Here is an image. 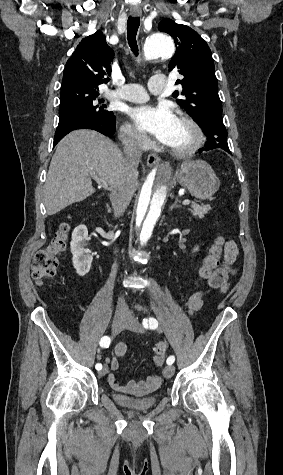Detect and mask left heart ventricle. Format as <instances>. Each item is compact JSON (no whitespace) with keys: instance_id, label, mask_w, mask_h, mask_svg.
I'll list each match as a JSON object with an SVG mask.
<instances>
[{"instance_id":"b2bd125f","label":"left heart ventricle","mask_w":283,"mask_h":475,"mask_svg":"<svg viewBox=\"0 0 283 475\" xmlns=\"http://www.w3.org/2000/svg\"><path fill=\"white\" fill-rule=\"evenodd\" d=\"M171 132L173 133L172 137L167 142H164L171 149H183L193 140L194 134L192 129L179 117L176 118Z\"/></svg>"}]
</instances>
